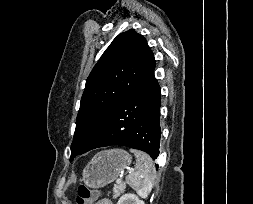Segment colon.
<instances>
[{
  "label": "colon",
  "mask_w": 253,
  "mask_h": 204,
  "mask_svg": "<svg viewBox=\"0 0 253 204\" xmlns=\"http://www.w3.org/2000/svg\"><path fill=\"white\" fill-rule=\"evenodd\" d=\"M98 195L99 194L96 189L82 184L78 188L76 204H95V201L98 199Z\"/></svg>",
  "instance_id": "colon-1"
}]
</instances>
